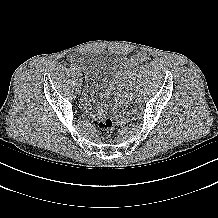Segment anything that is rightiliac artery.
<instances>
[{"label":"right iliac artery","instance_id":"1","mask_svg":"<svg viewBox=\"0 0 218 218\" xmlns=\"http://www.w3.org/2000/svg\"><path fill=\"white\" fill-rule=\"evenodd\" d=\"M71 71H73V72L75 73L76 68H75V67H72V68H71ZM76 74H77V71H76Z\"/></svg>","mask_w":218,"mask_h":218}]
</instances>
